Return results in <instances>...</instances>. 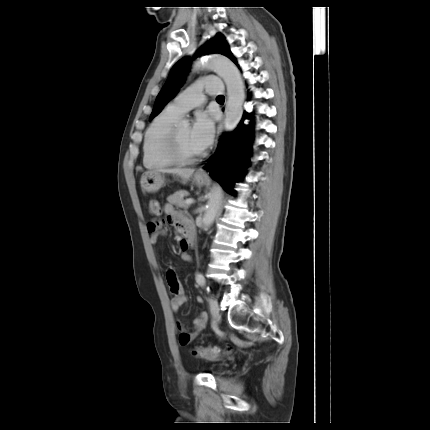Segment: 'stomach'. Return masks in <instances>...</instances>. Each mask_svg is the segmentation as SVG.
<instances>
[{
    "instance_id": "1",
    "label": "stomach",
    "mask_w": 430,
    "mask_h": 430,
    "mask_svg": "<svg viewBox=\"0 0 430 430\" xmlns=\"http://www.w3.org/2000/svg\"><path fill=\"white\" fill-rule=\"evenodd\" d=\"M206 176L199 173H195L193 181L196 185L202 186L206 182ZM141 187L145 192L154 193L157 192L164 184V175L160 172H146L141 177Z\"/></svg>"
}]
</instances>
